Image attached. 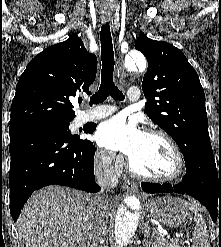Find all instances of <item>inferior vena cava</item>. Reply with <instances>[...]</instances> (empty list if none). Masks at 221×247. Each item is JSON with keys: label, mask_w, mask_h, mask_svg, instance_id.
I'll return each instance as SVG.
<instances>
[{"label": "inferior vena cava", "mask_w": 221, "mask_h": 247, "mask_svg": "<svg viewBox=\"0 0 221 247\" xmlns=\"http://www.w3.org/2000/svg\"><path fill=\"white\" fill-rule=\"evenodd\" d=\"M113 153H104L95 166L96 182L104 189L109 191L118 184V176L112 166ZM105 193L94 196V227L92 230V247H102L104 236L107 232L108 205Z\"/></svg>", "instance_id": "obj_1"}]
</instances>
